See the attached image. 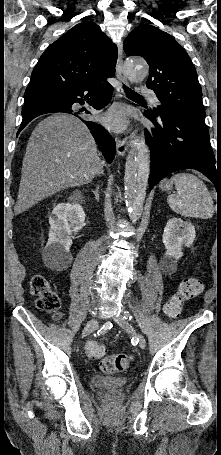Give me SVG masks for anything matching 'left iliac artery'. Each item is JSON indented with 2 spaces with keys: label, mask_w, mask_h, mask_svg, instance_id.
Returning <instances> with one entry per match:
<instances>
[{
  "label": "left iliac artery",
  "mask_w": 221,
  "mask_h": 455,
  "mask_svg": "<svg viewBox=\"0 0 221 455\" xmlns=\"http://www.w3.org/2000/svg\"><path fill=\"white\" fill-rule=\"evenodd\" d=\"M125 319H128L131 320L132 316H130V314L128 312H125V316H124Z\"/></svg>",
  "instance_id": "44dca946"
}]
</instances>
